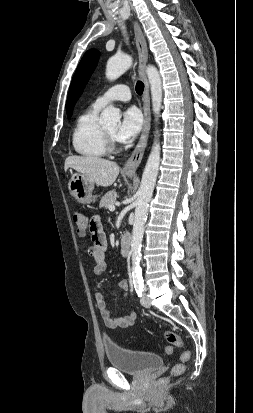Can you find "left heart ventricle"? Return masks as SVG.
I'll return each instance as SVG.
<instances>
[{
    "mask_svg": "<svg viewBox=\"0 0 253 413\" xmlns=\"http://www.w3.org/2000/svg\"><path fill=\"white\" fill-rule=\"evenodd\" d=\"M108 132H110L111 134H115V131H116V125L115 124H112V125H107V126H105L104 127Z\"/></svg>",
    "mask_w": 253,
    "mask_h": 413,
    "instance_id": "b2bd125f",
    "label": "left heart ventricle"
}]
</instances>
